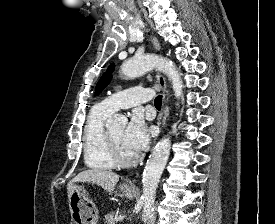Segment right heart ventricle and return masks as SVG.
<instances>
[{
    "label": "right heart ventricle",
    "mask_w": 275,
    "mask_h": 224,
    "mask_svg": "<svg viewBox=\"0 0 275 224\" xmlns=\"http://www.w3.org/2000/svg\"><path fill=\"white\" fill-rule=\"evenodd\" d=\"M110 112L100 105L93 107L83 129V156L85 164L95 170H110L115 167L105 145V121Z\"/></svg>",
    "instance_id": "obj_1"
}]
</instances>
